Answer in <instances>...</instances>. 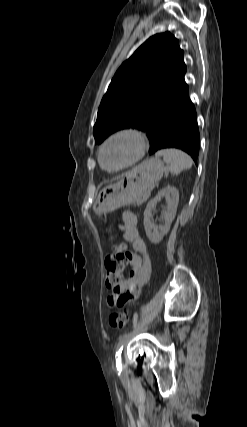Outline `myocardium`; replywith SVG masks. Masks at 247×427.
<instances>
[{
	"label": "myocardium",
	"mask_w": 247,
	"mask_h": 427,
	"mask_svg": "<svg viewBox=\"0 0 247 427\" xmlns=\"http://www.w3.org/2000/svg\"><path fill=\"white\" fill-rule=\"evenodd\" d=\"M124 136H130L132 138H134V140L136 141V145H137V151L135 156L128 161L127 163H125L124 165L115 168V169H108L104 166L103 161H102V152L104 150V148L111 143L112 141L120 138V137H124ZM148 147V141L146 138V135L139 129L136 128H132V127H127V128H121L116 130L115 132L111 133L100 145L99 150H98V161L100 166L107 172H119L121 170L127 169L130 166L134 165L135 163H137L145 154L146 150Z\"/></svg>",
	"instance_id": "obj_1"
}]
</instances>
